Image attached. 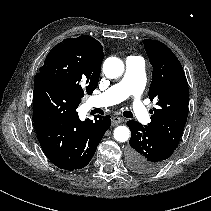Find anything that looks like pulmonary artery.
Here are the masks:
<instances>
[{
	"mask_svg": "<svg viewBox=\"0 0 211 211\" xmlns=\"http://www.w3.org/2000/svg\"><path fill=\"white\" fill-rule=\"evenodd\" d=\"M144 88V61L137 56H129L126 59V71L123 78L104 93L92 97L90 104L94 107L110 106L133 96L136 98L133 104V113L139 121L145 122L149 114L144 104L139 100Z\"/></svg>",
	"mask_w": 211,
	"mask_h": 211,
	"instance_id": "obj_1",
	"label": "pulmonary artery"
}]
</instances>
